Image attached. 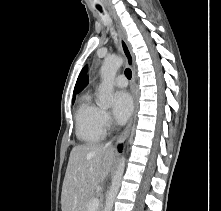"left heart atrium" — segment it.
Instances as JSON below:
<instances>
[{
	"mask_svg": "<svg viewBox=\"0 0 221 211\" xmlns=\"http://www.w3.org/2000/svg\"><path fill=\"white\" fill-rule=\"evenodd\" d=\"M133 110V102L131 96L126 91H118L113 98V115L116 121L120 124L124 123Z\"/></svg>",
	"mask_w": 221,
	"mask_h": 211,
	"instance_id": "1",
	"label": "left heart atrium"
}]
</instances>
